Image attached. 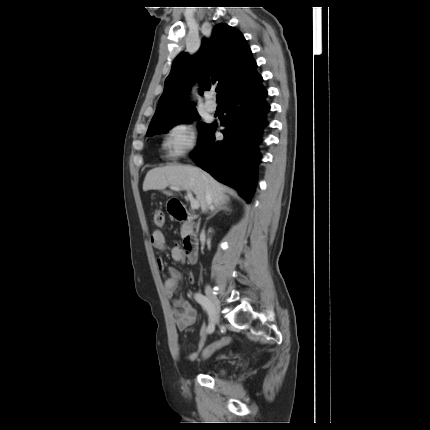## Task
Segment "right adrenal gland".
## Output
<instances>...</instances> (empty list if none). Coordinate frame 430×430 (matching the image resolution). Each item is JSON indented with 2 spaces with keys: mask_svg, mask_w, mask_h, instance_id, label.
Wrapping results in <instances>:
<instances>
[{
  "mask_svg": "<svg viewBox=\"0 0 430 430\" xmlns=\"http://www.w3.org/2000/svg\"><path fill=\"white\" fill-rule=\"evenodd\" d=\"M220 210L230 211V208L227 206V204H220V205H217V206L215 207V209H211L212 214H211V216H209V217L207 218V220H209L210 218H212L213 216H215V214H217V212H219Z\"/></svg>",
  "mask_w": 430,
  "mask_h": 430,
  "instance_id": "2a0ac1e0",
  "label": "right adrenal gland"
}]
</instances>
